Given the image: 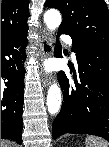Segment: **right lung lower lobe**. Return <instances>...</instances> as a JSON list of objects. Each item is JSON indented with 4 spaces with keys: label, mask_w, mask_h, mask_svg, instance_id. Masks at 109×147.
Wrapping results in <instances>:
<instances>
[{
    "label": "right lung lower lobe",
    "mask_w": 109,
    "mask_h": 147,
    "mask_svg": "<svg viewBox=\"0 0 109 147\" xmlns=\"http://www.w3.org/2000/svg\"><path fill=\"white\" fill-rule=\"evenodd\" d=\"M27 29L1 39V139L18 144H22Z\"/></svg>",
    "instance_id": "right-lung-lower-lobe-1"
}]
</instances>
